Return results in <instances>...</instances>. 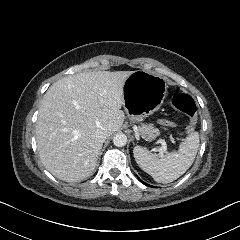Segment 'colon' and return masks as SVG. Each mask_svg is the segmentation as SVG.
<instances>
[{"instance_id": "5ec220e1", "label": "colon", "mask_w": 240, "mask_h": 240, "mask_svg": "<svg viewBox=\"0 0 240 240\" xmlns=\"http://www.w3.org/2000/svg\"><path fill=\"white\" fill-rule=\"evenodd\" d=\"M172 104L175 110L190 118L189 125L186 126V134L190 135L191 129L197 124L198 108L196 103L190 96L180 94L173 97ZM162 127L173 128V119H163Z\"/></svg>"}]
</instances>
